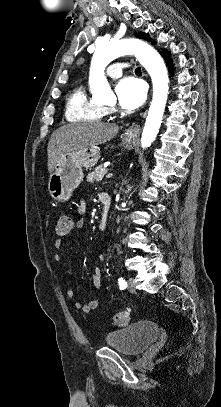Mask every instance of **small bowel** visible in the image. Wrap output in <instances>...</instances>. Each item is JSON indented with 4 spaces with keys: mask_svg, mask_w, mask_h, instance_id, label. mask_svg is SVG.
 I'll return each mask as SVG.
<instances>
[{
    "mask_svg": "<svg viewBox=\"0 0 221 407\" xmlns=\"http://www.w3.org/2000/svg\"><path fill=\"white\" fill-rule=\"evenodd\" d=\"M105 192H102L99 194L100 200H102V197L104 196ZM78 213H79V218L76 221L75 228L77 229H82L84 228L86 222H85V213H86V203L84 200H81L80 205L78 207ZM54 246L57 250H60L62 246V241L60 239L56 240L54 243ZM60 255L57 254L55 256V259L60 260ZM102 279H103V270L100 267H96L93 270V275H92V284L95 287L96 290H101L102 288ZM66 296L70 299L75 297V291L73 289H68L66 290ZM99 305V299L94 298L87 303H82V302H75L76 308L84 313H89L93 310H95Z\"/></svg>",
    "mask_w": 221,
    "mask_h": 407,
    "instance_id": "c3829d8e",
    "label": "small bowel"
}]
</instances>
